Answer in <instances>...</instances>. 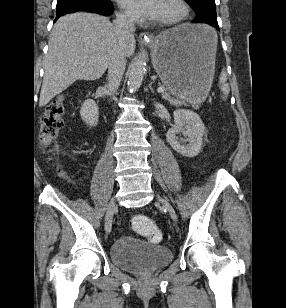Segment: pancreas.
I'll return each instance as SVG.
<instances>
[{"instance_id": "obj_1", "label": "pancreas", "mask_w": 286, "mask_h": 308, "mask_svg": "<svg viewBox=\"0 0 286 308\" xmlns=\"http://www.w3.org/2000/svg\"><path fill=\"white\" fill-rule=\"evenodd\" d=\"M163 97H164L165 99L171 101V102L177 101L176 99H175V100H172L171 97H170V95H169L168 93H164V94H163Z\"/></svg>"}]
</instances>
